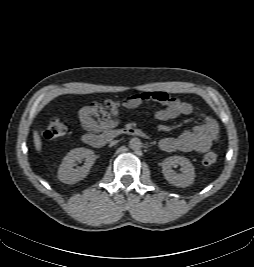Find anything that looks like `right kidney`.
<instances>
[{
	"instance_id": "ca27d5eb",
	"label": "right kidney",
	"mask_w": 254,
	"mask_h": 267,
	"mask_svg": "<svg viewBox=\"0 0 254 267\" xmlns=\"http://www.w3.org/2000/svg\"><path fill=\"white\" fill-rule=\"evenodd\" d=\"M85 160L82 167L74 169L76 161ZM96 156L94 152L87 148H75L64 158L58 169V179L66 184H74L83 180L89 173L94 164Z\"/></svg>"
}]
</instances>
